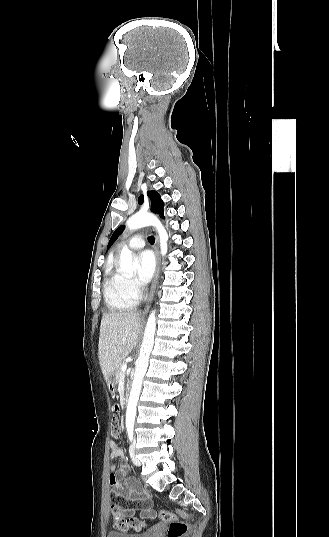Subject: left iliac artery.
Segmentation results:
<instances>
[{"label": "left iliac artery", "mask_w": 329, "mask_h": 537, "mask_svg": "<svg viewBox=\"0 0 329 537\" xmlns=\"http://www.w3.org/2000/svg\"><path fill=\"white\" fill-rule=\"evenodd\" d=\"M133 434V428H128V437L130 441L133 439Z\"/></svg>", "instance_id": "44dca946"}]
</instances>
